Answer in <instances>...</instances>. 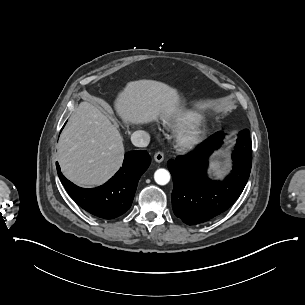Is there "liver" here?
<instances>
[{
	"instance_id": "1",
	"label": "liver",
	"mask_w": 305,
	"mask_h": 305,
	"mask_svg": "<svg viewBox=\"0 0 305 305\" xmlns=\"http://www.w3.org/2000/svg\"><path fill=\"white\" fill-rule=\"evenodd\" d=\"M101 101L110 109L111 106ZM176 94L152 81L132 82L118 103V110L135 121H149L158 114L176 111ZM123 138L99 106L81 102L71 114L58 145L59 163L64 175L80 186L105 182L121 165Z\"/></svg>"
}]
</instances>
